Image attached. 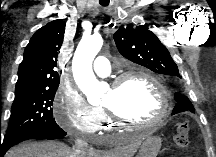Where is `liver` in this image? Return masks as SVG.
<instances>
[{"label":"liver","mask_w":216,"mask_h":157,"mask_svg":"<svg viewBox=\"0 0 216 157\" xmlns=\"http://www.w3.org/2000/svg\"><path fill=\"white\" fill-rule=\"evenodd\" d=\"M141 144L140 137H131L125 145L109 152L90 151L85 157H132ZM75 149L57 141L27 142L10 149L5 157H81Z\"/></svg>","instance_id":"liver-1"}]
</instances>
